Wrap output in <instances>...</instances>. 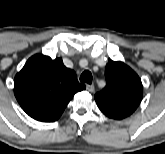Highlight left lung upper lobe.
Here are the masks:
<instances>
[{
  "instance_id": "5c2ea615",
  "label": "left lung upper lobe",
  "mask_w": 165,
  "mask_h": 154,
  "mask_svg": "<svg viewBox=\"0 0 165 154\" xmlns=\"http://www.w3.org/2000/svg\"><path fill=\"white\" fill-rule=\"evenodd\" d=\"M106 86L95 94L99 109L108 117L123 119L131 115L141 102L143 87L139 76L120 61H108Z\"/></svg>"
}]
</instances>
